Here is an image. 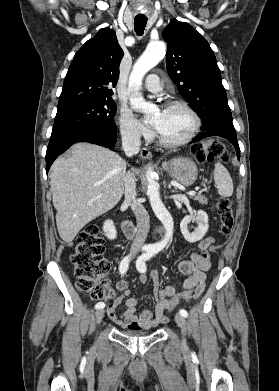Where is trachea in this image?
Instances as JSON below:
<instances>
[{
  "label": "trachea",
  "mask_w": 279,
  "mask_h": 391,
  "mask_svg": "<svg viewBox=\"0 0 279 391\" xmlns=\"http://www.w3.org/2000/svg\"><path fill=\"white\" fill-rule=\"evenodd\" d=\"M147 24V18L136 17L134 19V30L138 36H142Z\"/></svg>",
  "instance_id": "3493384b"
}]
</instances>
